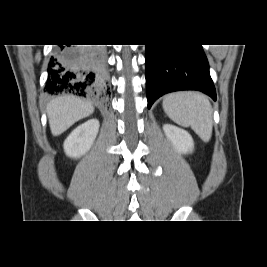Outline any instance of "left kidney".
<instances>
[{"label":"left kidney","instance_id":"5707ae66","mask_svg":"<svg viewBox=\"0 0 267 267\" xmlns=\"http://www.w3.org/2000/svg\"><path fill=\"white\" fill-rule=\"evenodd\" d=\"M163 130L177 152L187 154L193 151L194 142L187 131L170 124H165Z\"/></svg>","mask_w":267,"mask_h":267}]
</instances>
